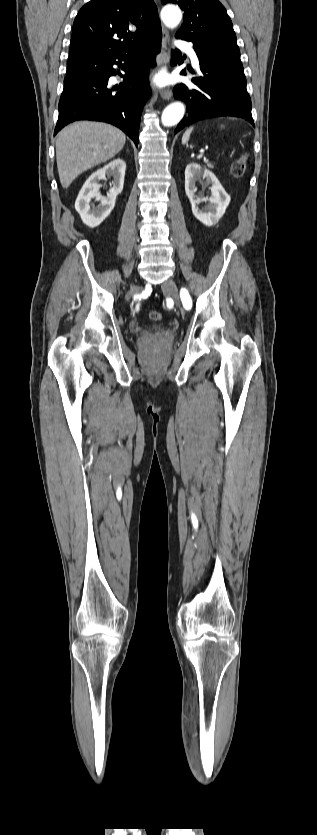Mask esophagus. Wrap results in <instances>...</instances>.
<instances>
[{
  "label": "esophagus",
  "mask_w": 317,
  "mask_h": 835,
  "mask_svg": "<svg viewBox=\"0 0 317 835\" xmlns=\"http://www.w3.org/2000/svg\"><path fill=\"white\" fill-rule=\"evenodd\" d=\"M168 36V31L164 27H162V39L164 47L167 46ZM160 95L162 99L169 100L172 97V91L171 89L167 88L162 90Z\"/></svg>",
  "instance_id": "obj_1"
}]
</instances>
